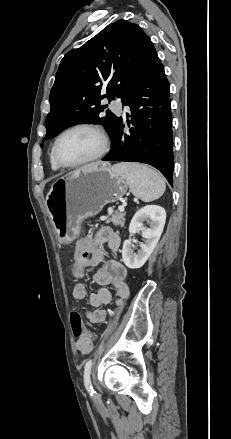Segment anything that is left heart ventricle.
<instances>
[{"instance_id":"1","label":"left heart ventricle","mask_w":231,"mask_h":439,"mask_svg":"<svg viewBox=\"0 0 231 439\" xmlns=\"http://www.w3.org/2000/svg\"><path fill=\"white\" fill-rule=\"evenodd\" d=\"M101 147L99 136L89 130H75L59 142L58 153L66 163H76L95 155Z\"/></svg>"}]
</instances>
